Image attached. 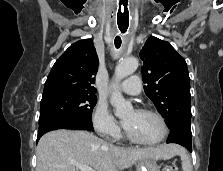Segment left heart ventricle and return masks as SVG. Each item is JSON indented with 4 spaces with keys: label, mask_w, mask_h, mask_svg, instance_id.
Masks as SVG:
<instances>
[{
    "label": "left heart ventricle",
    "mask_w": 223,
    "mask_h": 171,
    "mask_svg": "<svg viewBox=\"0 0 223 171\" xmlns=\"http://www.w3.org/2000/svg\"><path fill=\"white\" fill-rule=\"evenodd\" d=\"M126 130L136 139L151 142L161 135L159 121L152 115L129 111L123 117Z\"/></svg>",
    "instance_id": "1"
}]
</instances>
